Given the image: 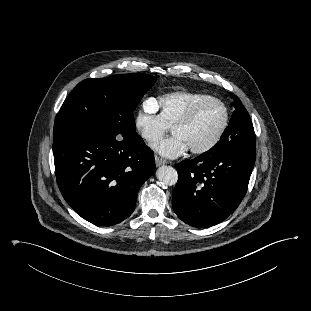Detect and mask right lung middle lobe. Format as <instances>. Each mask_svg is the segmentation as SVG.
I'll return each instance as SVG.
<instances>
[{
	"label": "right lung middle lobe",
	"mask_w": 311,
	"mask_h": 311,
	"mask_svg": "<svg viewBox=\"0 0 311 311\" xmlns=\"http://www.w3.org/2000/svg\"><path fill=\"white\" fill-rule=\"evenodd\" d=\"M155 81L153 76L137 73L83 80L62 104L53 140L74 136L136 138L133 111Z\"/></svg>",
	"instance_id": "dd1d6c3e"
}]
</instances>
